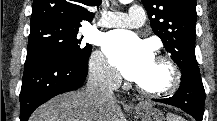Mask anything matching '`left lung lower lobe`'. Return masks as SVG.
Instances as JSON below:
<instances>
[{
	"label": "left lung lower lobe",
	"instance_id": "left-lung-lower-lobe-1",
	"mask_svg": "<svg viewBox=\"0 0 217 121\" xmlns=\"http://www.w3.org/2000/svg\"><path fill=\"white\" fill-rule=\"evenodd\" d=\"M153 100L181 108L192 115L196 121L203 119L205 91L201 78H194L184 73L181 77V85L172 97Z\"/></svg>",
	"mask_w": 217,
	"mask_h": 121
}]
</instances>
